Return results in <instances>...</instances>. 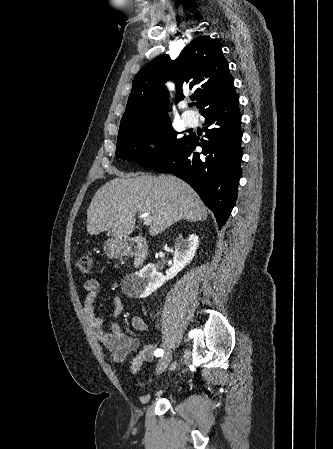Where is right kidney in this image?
<instances>
[{
    "label": "right kidney",
    "mask_w": 333,
    "mask_h": 449,
    "mask_svg": "<svg viewBox=\"0 0 333 449\" xmlns=\"http://www.w3.org/2000/svg\"><path fill=\"white\" fill-rule=\"evenodd\" d=\"M199 246V237L196 234L189 235L184 244H178L174 252L173 264L166 271V275L157 272L154 264H147L135 274L136 294L145 298L160 288L166 281L174 278L185 268L195 256Z\"/></svg>",
    "instance_id": "right-kidney-1"
}]
</instances>
